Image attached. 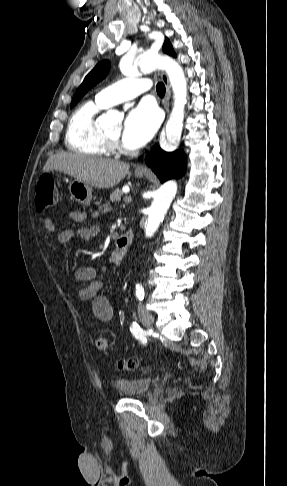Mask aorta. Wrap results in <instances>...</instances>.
<instances>
[{"instance_id":"1","label":"aorta","mask_w":287,"mask_h":486,"mask_svg":"<svg viewBox=\"0 0 287 486\" xmlns=\"http://www.w3.org/2000/svg\"><path fill=\"white\" fill-rule=\"evenodd\" d=\"M139 69L142 71H152L155 69L165 70L174 94L173 109L166 124V139L163 147L167 149L178 145L184 120L185 105L187 102V82L184 72L179 64L171 57L154 54L151 52L143 54L138 61ZM138 66L128 57H123L119 68L123 75L132 76L138 73ZM102 126H111L114 123L113 112H107L99 118ZM177 185L173 181L164 183L159 190L149 208L148 217L145 224L144 233L147 238L153 237L154 233L162 223L166 212L176 194Z\"/></svg>"}]
</instances>
